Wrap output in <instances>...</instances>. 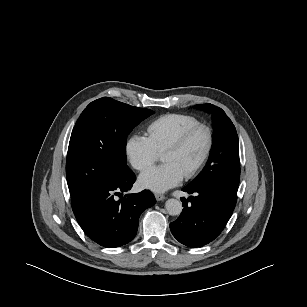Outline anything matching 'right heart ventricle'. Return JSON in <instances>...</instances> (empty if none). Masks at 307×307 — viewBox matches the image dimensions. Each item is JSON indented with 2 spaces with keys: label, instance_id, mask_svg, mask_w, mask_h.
Here are the masks:
<instances>
[{
  "label": "right heart ventricle",
  "instance_id": "e07e8e85",
  "mask_svg": "<svg viewBox=\"0 0 307 307\" xmlns=\"http://www.w3.org/2000/svg\"><path fill=\"white\" fill-rule=\"evenodd\" d=\"M198 123L199 120L191 115L166 114L148 125V139L157 153L162 154L183 131Z\"/></svg>",
  "mask_w": 307,
  "mask_h": 307
}]
</instances>
